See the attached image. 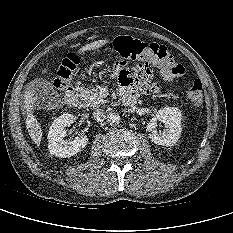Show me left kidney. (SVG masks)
<instances>
[{"label": "left kidney", "mask_w": 233, "mask_h": 233, "mask_svg": "<svg viewBox=\"0 0 233 233\" xmlns=\"http://www.w3.org/2000/svg\"><path fill=\"white\" fill-rule=\"evenodd\" d=\"M165 124L163 131L157 130V121ZM149 138L158 145L173 146L181 135V111L175 107H164L158 110L157 114L146 126Z\"/></svg>", "instance_id": "5707ae66"}]
</instances>
